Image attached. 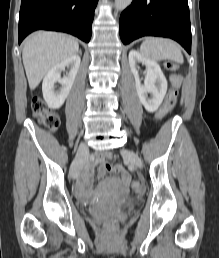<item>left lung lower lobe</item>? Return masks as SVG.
<instances>
[{
	"mask_svg": "<svg viewBox=\"0 0 219 258\" xmlns=\"http://www.w3.org/2000/svg\"><path fill=\"white\" fill-rule=\"evenodd\" d=\"M120 38L129 44L142 36L168 37L191 53L187 0H133L120 16Z\"/></svg>",
	"mask_w": 219,
	"mask_h": 258,
	"instance_id": "1",
	"label": "left lung lower lobe"
}]
</instances>
